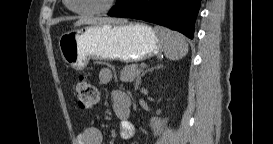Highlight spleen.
<instances>
[{"mask_svg":"<svg viewBox=\"0 0 273 144\" xmlns=\"http://www.w3.org/2000/svg\"><path fill=\"white\" fill-rule=\"evenodd\" d=\"M163 45L164 53L170 60H179L188 52V44L185 37L178 33L164 27H155Z\"/></svg>","mask_w":273,"mask_h":144,"instance_id":"spleen-1","label":"spleen"}]
</instances>
